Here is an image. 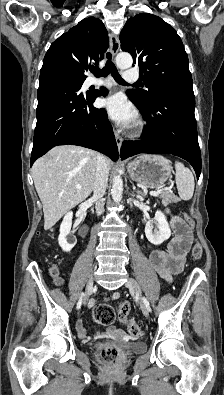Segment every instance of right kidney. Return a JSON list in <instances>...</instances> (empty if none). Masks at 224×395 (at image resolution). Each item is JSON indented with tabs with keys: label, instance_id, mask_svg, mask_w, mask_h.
Here are the masks:
<instances>
[{
	"label": "right kidney",
	"instance_id": "right-kidney-1",
	"mask_svg": "<svg viewBox=\"0 0 224 395\" xmlns=\"http://www.w3.org/2000/svg\"><path fill=\"white\" fill-rule=\"evenodd\" d=\"M72 218L73 213L67 212L60 225L58 242L64 252H70L77 243L76 237L70 232L72 226Z\"/></svg>",
	"mask_w": 224,
	"mask_h": 395
}]
</instances>
